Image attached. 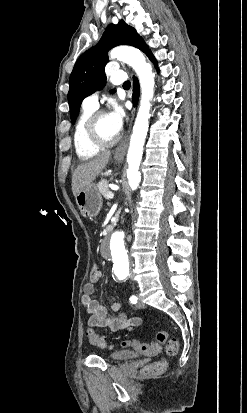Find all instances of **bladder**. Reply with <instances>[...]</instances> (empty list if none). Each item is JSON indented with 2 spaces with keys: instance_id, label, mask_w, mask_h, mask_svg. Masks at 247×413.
<instances>
[{
  "instance_id": "31cf9c89",
  "label": "bladder",
  "mask_w": 247,
  "mask_h": 413,
  "mask_svg": "<svg viewBox=\"0 0 247 413\" xmlns=\"http://www.w3.org/2000/svg\"><path fill=\"white\" fill-rule=\"evenodd\" d=\"M138 356V352L121 350L108 354V359L112 361H125L127 359H133Z\"/></svg>"
}]
</instances>
